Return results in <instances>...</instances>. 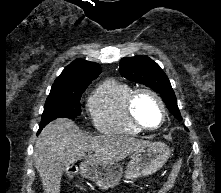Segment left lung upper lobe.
<instances>
[{"label": "left lung upper lobe", "mask_w": 221, "mask_h": 193, "mask_svg": "<svg viewBox=\"0 0 221 193\" xmlns=\"http://www.w3.org/2000/svg\"><path fill=\"white\" fill-rule=\"evenodd\" d=\"M119 71L123 77L144 84L159 93L170 113L178 120H182L170 81L152 59L140 55L123 58L120 61Z\"/></svg>", "instance_id": "5c2ea615"}]
</instances>
